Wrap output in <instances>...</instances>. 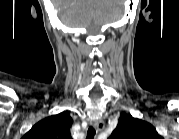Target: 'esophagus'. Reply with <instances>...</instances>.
I'll return each instance as SVG.
<instances>
[{
    "instance_id": "34e87169",
    "label": "esophagus",
    "mask_w": 179,
    "mask_h": 139,
    "mask_svg": "<svg viewBox=\"0 0 179 139\" xmlns=\"http://www.w3.org/2000/svg\"><path fill=\"white\" fill-rule=\"evenodd\" d=\"M92 126L97 130V131H101L104 129L105 127V123L103 120H96L94 122H92Z\"/></svg>"
}]
</instances>
